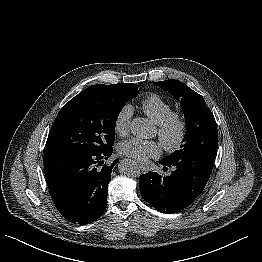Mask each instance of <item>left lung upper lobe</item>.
Instances as JSON below:
<instances>
[{
	"mask_svg": "<svg viewBox=\"0 0 262 262\" xmlns=\"http://www.w3.org/2000/svg\"><path fill=\"white\" fill-rule=\"evenodd\" d=\"M180 100L186 133L180 150L164 158L169 165L179 162L214 164L217 155V125L204 98L178 80L154 82Z\"/></svg>",
	"mask_w": 262,
	"mask_h": 262,
	"instance_id": "5c2ea615",
	"label": "left lung upper lobe"
}]
</instances>
